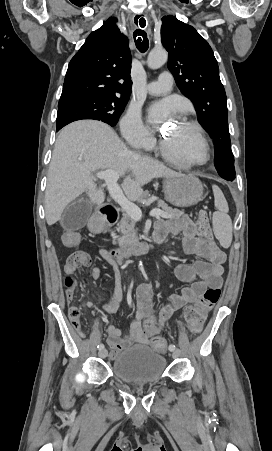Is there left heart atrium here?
Listing matches in <instances>:
<instances>
[{"label":"left heart atrium","instance_id":"39dd6f15","mask_svg":"<svg viewBox=\"0 0 272 451\" xmlns=\"http://www.w3.org/2000/svg\"><path fill=\"white\" fill-rule=\"evenodd\" d=\"M176 110L174 104L170 103L168 100L161 101L150 110L149 120L151 123L158 125L163 120H167V117Z\"/></svg>","mask_w":272,"mask_h":451}]
</instances>
